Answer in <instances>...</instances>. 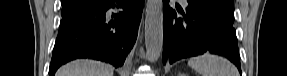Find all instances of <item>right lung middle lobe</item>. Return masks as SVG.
<instances>
[{
    "label": "right lung middle lobe",
    "instance_id": "obj_1",
    "mask_svg": "<svg viewBox=\"0 0 287 76\" xmlns=\"http://www.w3.org/2000/svg\"><path fill=\"white\" fill-rule=\"evenodd\" d=\"M89 2H90V0H64V1H61L62 6H63L62 11H61L62 18L80 10L81 8L86 6Z\"/></svg>",
    "mask_w": 287,
    "mask_h": 76
}]
</instances>
